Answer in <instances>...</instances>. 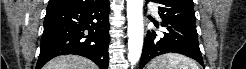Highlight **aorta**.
<instances>
[{
	"label": "aorta",
	"instance_id": "aorta-1",
	"mask_svg": "<svg viewBox=\"0 0 246 69\" xmlns=\"http://www.w3.org/2000/svg\"><path fill=\"white\" fill-rule=\"evenodd\" d=\"M128 61L133 66L141 56L143 47V0H127Z\"/></svg>",
	"mask_w": 246,
	"mask_h": 69
}]
</instances>
